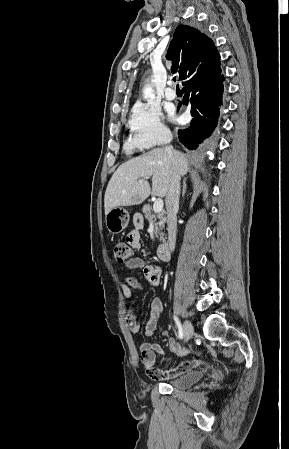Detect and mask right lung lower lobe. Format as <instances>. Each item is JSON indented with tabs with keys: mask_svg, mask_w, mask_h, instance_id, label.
I'll use <instances>...</instances> for the list:
<instances>
[{
	"mask_svg": "<svg viewBox=\"0 0 289 449\" xmlns=\"http://www.w3.org/2000/svg\"><path fill=\"white\" fill-rule=\"evenodd\" d=\"M220 64L205 76L184 85L183 104H190L193 119L187 129L179 130V140L188 149H196L214 131L220 115L223 95ZM182 103L179 104L178 109Z\"/></svg>",
	"mask_w": 289,
	"mask_h": 449,
	"instance_id": "right-lung-lower-lobe-1",
	"label": "right lung lower lobe"
}]
</instances>
